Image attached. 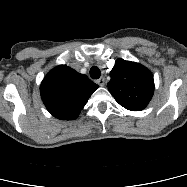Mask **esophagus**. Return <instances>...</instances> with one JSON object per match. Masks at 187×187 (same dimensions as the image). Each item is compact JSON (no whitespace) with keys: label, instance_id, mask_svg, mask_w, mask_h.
Listing matches in <instances>:
<instances>
[{"label":"esophagus","instance_id":"obj_1","mask_svg":"<svg viewBox=\"0 0 187 187\" xmlns=\"http://www.w3.org/2000/svg\"><path fill=\"white\" fill-rule=\"evenodd\" d=\"M96 83L99 86H104L105 85V80H104V78H99L98 80H96Z\"/></svg>","mask_w":187,"mask_h":187}]
</instances>
